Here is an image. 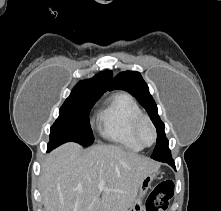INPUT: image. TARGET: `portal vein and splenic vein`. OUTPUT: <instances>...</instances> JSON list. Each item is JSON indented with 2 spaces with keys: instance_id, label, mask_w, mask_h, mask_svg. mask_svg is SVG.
<instances>
[{
  "instance_id": "1",
  "label": "portal vein and splenic vein",
  "mask_w": 221,
  "mask_h": 211,
  "mask_svg": "<svg viewBox=\"0 0 221 211\" xmlns=\"http://www.w3.org/2000/svg\"><path fill=\"white\" fill-rule=\"evenodd\" d=\"M99 190H104L105 189V181L101 180L98 184Z\"/></svg>"
}]
</instances>
